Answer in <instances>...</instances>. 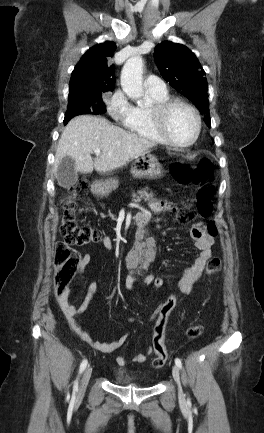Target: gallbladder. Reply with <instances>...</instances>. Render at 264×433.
Here are the masks:
<instances>
[{
    "instance_id": "obj_1",
    "label": "gallbladder",
    "mask_w": 264,
    "mask_h": 433,
    "mask_svg": "<svg viewBox=\"0 0 264 433\" xmlns=\"http://www.w3.org/2000/svg\"><path fill=\"white\" fill-rule=\"evenodd\" d=\"M56 178L60 186L64 188L72 187L78 180V172L75 169L74 160L65 156L59 163Z\"/></svg>"
}]
</instances>
